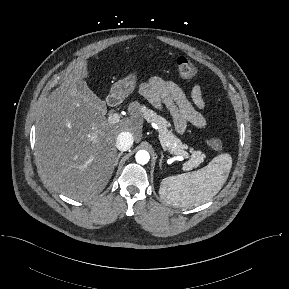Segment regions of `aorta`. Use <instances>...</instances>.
I'll list each match as a JSON object with an SVG mask.
<instances>
[{"instance_id":"obj_1","label":"aorta","mask_w":289,"mask_h":289,"mask_svg":"<svg viewBox=\"0 0 289 289\" xmlns=\"http://www.w3.org/2000/svg\"><path fill=\"white\" fill-rule=\"evenodd\" d=\"M135 158H136L137 163L144 165V164H147L149 162L150 155L146 150H139L136 153Z\"/></svg>"}]
</instances>
